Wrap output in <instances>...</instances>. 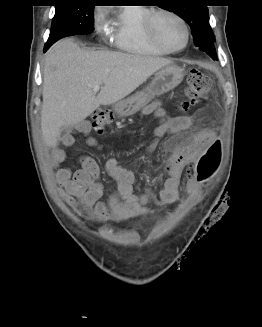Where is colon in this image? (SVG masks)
<instances>
[{
    "instance_id": "1",
    "label": "colon",
    "mask_w": 262,
    "mask_h": 327,
    "mask_svg": "<svg viewBox=\"0 0 262 327\" xmlns=\"http://www.w3.org/2000/svg\"><path fill=\"white\" fill-rule=\"evenodd\" d=\"M211 88L210 79L198 70H192L187 79L183 106L188 108L197 104L207 97ZM114 120L113 113L109 110H98L93 114V129L102 133ZM221 158L219 142H214L196 162L194 167V179L196 183L206 181L216 170Z\"/></svg>"
}]
</instances>
